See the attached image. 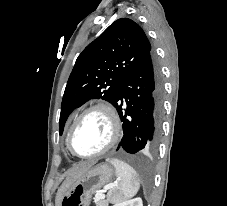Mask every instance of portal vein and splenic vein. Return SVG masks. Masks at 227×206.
Here are the masks:
<instances>
[{
    "mask_svg": "<svg viewBox=\"0 0 227 206\" xmlns=\"http://www.w3.org/2000/svg\"><path fill=\"white\" fill-rule=\"evenodd\" d=\"M116 185H117L116 183L109 184V185H107L105 187V190L111 189V188L115 187ZM96 198H98V199H104L105 198V195L103 193H98V194H96Z\"/></svg>",
    "mask_w": 227,
    "mask_h": 206,
    "instance_id": "obj_1",
    "label": "portal vein and splenic vein"
}]
</instances>
